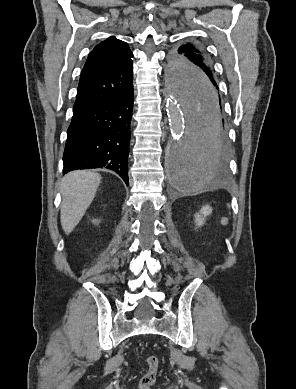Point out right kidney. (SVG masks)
Listing matches in <instances>:
<instances>
[{"label":"right kidney","mask_w":296,"mask_h":389,"mask_svg":"<svg viewBox=\"0 0 296 389\" xmlns=\"http://www.w3.org/2000/svg\"><path fill=\"white\" fill-rule=\"evenodd\" d=\"M93 223L98 224L99 221L98 220H93Z\"/></svg>","instance_id":"1"}]
</instances>
